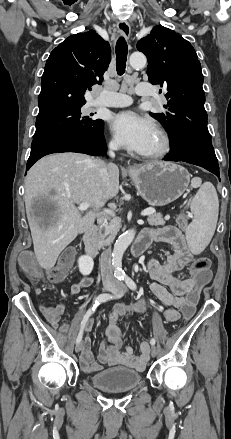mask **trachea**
Returning <instances> with one entry per match:
<instances>
[{"label": "trachea", "mask_w": 231, "mask_h": 439, "mask_svg": "<svg viewBox=\"0 0 231 439\" xmlns=\"http://www.w3.org/2000/svg\"><path fill=\"white\" fill-rule=\"evenodd\" d=\"M116 70L119 75L124 74L127 61V43L123 37H120L116 43Z\"/></svg>", "instance_id": "1"}]
</instances>
